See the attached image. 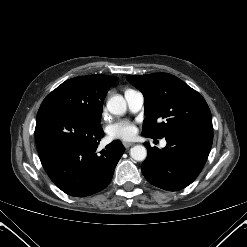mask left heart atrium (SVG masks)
<instances>
[{
    "instance_id": "39dd6f15",
    "label": "left heart atrium",
    "mask_w": 247,
    "mask_h": 247,
    "mask_svg": "<svg viewBox=\"0 0 247 247\" xmlns=\"http://www.w3.org/2000/svg\"><path fill=\"white\" fill-rule=\"evenodd\" d=\"M134 134V126L129 121H118L108 127V135L112 139H130Z\"/></svg>"
}]
</instances>
